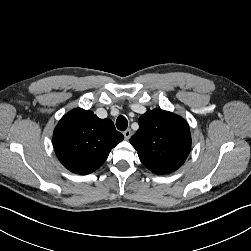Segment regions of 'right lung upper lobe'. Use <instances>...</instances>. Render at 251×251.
Here are the masks:
<instances>
[{"label": "right lung upper lobe", "instance_id": "obj_1", "mask_svg": "<svg viewBox=\"0 0 251 251\" xmlns=\"http://www.w3.org/2000/svg\"><path fill=\"white\" fill-rule=\"evenodd\" d=\"M124 136L111 119H100L81 108L65 114L53 133L59 161L71 172L89 174L99 168Z\"/></svg>", "mask_w": 251, "mask_h": 251}]
</instances>
